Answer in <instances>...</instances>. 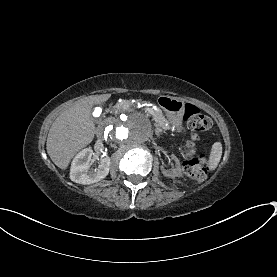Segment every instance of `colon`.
<instances>
[{"mask_svg": "<svg viewBox=\"0 0 277 277\" xmlns=\"http://www.w3.org/2000/svg\"><path fill=\"white\" fill-rule=\"evenodd\" d=\"M182 120L193 131L191 140L182 148L184 155L183 170L189 178L202 181L207 175V160L197 151L194 141L198 140L199 133L211 128L212 122L198 107L191 104L185 106ZM212 144L213 139L208 138L205 140L204 147L209 149Z\"/></svg>", "mask_w": 277, "mask_h": 277, "instance_id": "colon-1", "label": "colon"}]
</instances>
